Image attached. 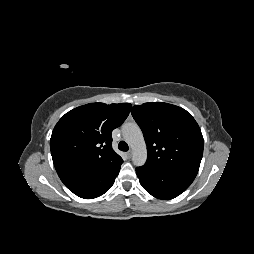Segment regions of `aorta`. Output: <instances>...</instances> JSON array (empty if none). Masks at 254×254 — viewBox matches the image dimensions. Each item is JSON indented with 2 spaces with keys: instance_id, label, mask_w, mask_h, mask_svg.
<instances>
[{
  "instance_id": "aorta-1",
  "label": "aorta",
  "mask_w": 254,
  "mask_h": 254,
  "mask_svg": "<svg viewBox=\"0 0 254 254\" xmlns=\"http://www.w3.org/2000/svg\"><path fill=\"white\" fill-rule=\"evenodd\" d=\"M125 141L132 149V161L136 166H142L147 160V149L144 137L139 126L134 123H125L122 126Z\"/></svg>"
}]
</instances>
